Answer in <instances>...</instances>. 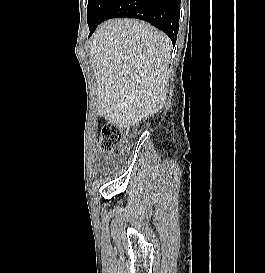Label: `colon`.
I'll return each instance as SVG.
<instances>
[{"mask_svg": "<svg viewBox=\"0 0 265 273\" xmlns=\"http://www.w3.org/2000/svg\"><path fill=\"white\" fill-rule=\"evenodd\" d=\"M102 151L109 155H119L124 139L122 128L113 123L105 124L100 132Z\"/></svg>", "mask_w": 265, "mask_h": 273, "instance_id": "obj_1", "label": "colon"}]
</instances>
